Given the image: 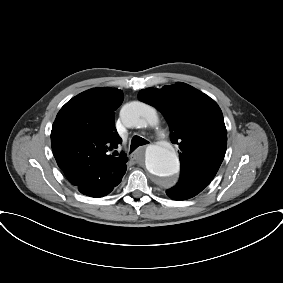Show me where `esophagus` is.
<instances>
[{"label":"esophagus","instance_id":"esophagus-1","mask_svg":"<svg viewBox=\"0 0 283 283\" xmlns=\"http://www.w3.org/2000/svg\"><path fill=\"white\" fill-rule=\"evenodd\" d=\"M145 147H146V146H142V147L138 148V150H137L136 152H134V153L131 155V159L138 162V161L140 160V155H139V153H140V152L143 153Z\"/></svg>","mask_w":283,"mask_h":283}]
</instances>
